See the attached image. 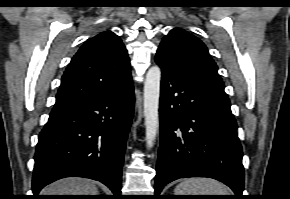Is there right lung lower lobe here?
Wrapping results in <instances>:
<instances>
[{
	"label": "right lung lower lobe",
	"mask_w": 290,
	"mask_h": 199,
	"mask_svg": "<svg viewBox=\"0 0 290 199\" xmlns=\"http://www.w3.org/2000/svg\"><path fill=\"white\" fill-rule=\"evenodd\" d=\"M134 111L132 82L123 90L53 109L39 134L35 153L33 199L64 177L94 179L119 199L126 139Z\"/></svg>",
	"instance_id": "obj_1"
}]
</instances>
